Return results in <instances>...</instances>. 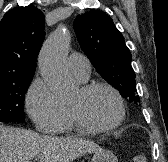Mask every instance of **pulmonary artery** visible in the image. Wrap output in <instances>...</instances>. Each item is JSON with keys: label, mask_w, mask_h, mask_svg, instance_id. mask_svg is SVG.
I'll return each mask as SVG.
<instances>
[{"label": "pulmonary artery", "mask_w": 168, "mask_h": 162, "mask_svg": "<svg viewBox=\"0 0 168 162\" xmlns=\"http://www.w3.org/2000/svg\"><path fill=\"white\" fill-rule=\"evenodd\" d=\"M67 65L71 73L80 81L88 79L90 73V62L88 58L79 53H72L68 57Z\"/></svg>", "instance_id": "e3ab8cb5"}]
</instances>
